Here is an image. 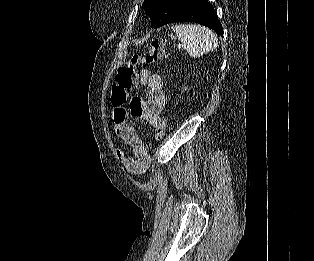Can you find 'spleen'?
I'll return each instance as SVG.
<instances>
[{
    "mask_svg": "<svg viewBox=\"0 0 314 261\" xmlns=\"http://www.w3.org/2000/svg\"><path fill=\"white\" fill-rule=\"evenodd\" d=\"M172 30L191 57H200L218 46L216 35L204 26L181 24L173 26Z\"/></svg>",
    "mask_w": 314,
    "mask_h": 261,
    "instance_id": "3e777b00",
    "label": "spleen"
}]
</instances>
